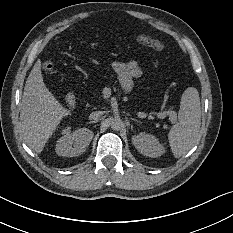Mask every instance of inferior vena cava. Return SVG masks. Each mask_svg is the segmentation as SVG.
<instances>
[{"label": "inferior vena cava", "mask_w": 233, "mask_h": 233, "mask_svg": "<svg viewBox=\"0 0 233 233\" xmlns=\"http://www.w3.org/2000/svg\"><path fill=\"white\" fill-rule=\"evenodd\" d=\"M104 114L103 111H94L90 114V118L93 120L99 119Z\"/></svg>", "instance_id": "obj_1"}]
</instances>
